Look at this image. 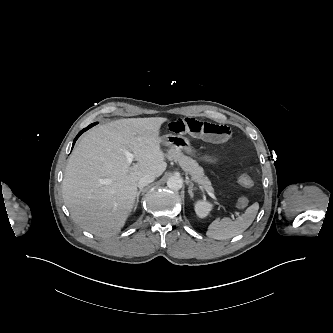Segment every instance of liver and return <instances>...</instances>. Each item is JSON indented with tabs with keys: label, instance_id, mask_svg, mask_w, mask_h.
Returning <instances> with one entry per match:
<instances>
[{
	"label": "liver",
	"instance_id": "obj_1",
	"mask_svg": "<svg viewBox=\"0 0 333 333\" xmlns=\"http://www.w3.org/2000/svg\"><path fill=\"white\" fill-rule=\"evenodd\" d=\"M167 120H116L81 138L62 182L63 199L76 224L100 237L121 231L133 208L140 178L145 174L159 177L167 168L159 136ZM124 150L135 155V165L127 164ZM104 179L109 182L103 184Z\"/></svg>",
	"mask_w": 333,
	"mask_h": 333
}]
</instances>
